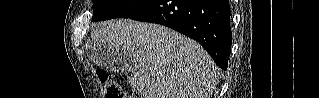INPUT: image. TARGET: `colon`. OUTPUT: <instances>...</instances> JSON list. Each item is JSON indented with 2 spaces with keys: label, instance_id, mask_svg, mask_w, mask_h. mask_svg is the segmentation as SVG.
Here are the masks:
<instances>
[{
  "label": "colon",
  "instance_id": "5ec220e1",
  "mask_svg": "<svg viewBox=\"0 0 319 98\" xmlns=\"http://www.w3.org/2000/svg\"><path fill=\"white\" fill-rule=\"evenodd\" d=\"M97 76L103 84L105 98H136V96L130 97L127 95L119 83L111 78L105 70H98Z\"/></svg>",
  "mask_w": 319,
  "mask_h": 98
}]
</instances>
